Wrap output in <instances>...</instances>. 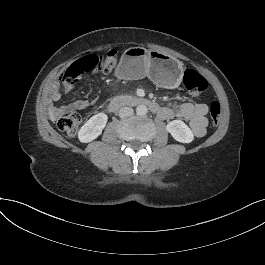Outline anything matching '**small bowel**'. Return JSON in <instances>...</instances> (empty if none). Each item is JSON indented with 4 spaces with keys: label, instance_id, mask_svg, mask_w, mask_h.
Masks as SVG:
<instances>
[{
    "label": "small bowel",
    "instance_id": "c3829d8e",
    "mask_svg": "<svg viewBox=\"0 0 265 265\" xmlns=\"http://www.w3.org/2000/svg\"><path fill=\"white\" fill-rule=\"evenodd\" d=\"M67 91L70 87L66 88ZM52 101L60 99V90L58 85H54L50 94ZM94 101L87 99L75 100L64 106H57L51 109L53 117H59L73 110H82L89 107ZM164 113L159 116L162 119H183L190 122V128L196 137H203L206 133L208 106L205 103H183L175 108L163 107Z\"/></svg>",
    "mask_w": 265,
    "mask_h": 265
}]
</instances>
